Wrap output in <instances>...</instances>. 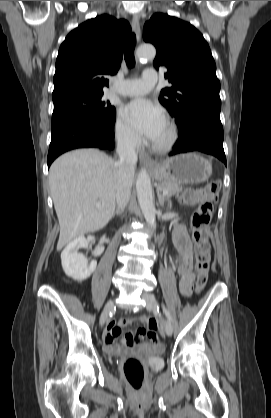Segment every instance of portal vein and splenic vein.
<instances>
[{
    "label": "portal vein and splenic vein",
    "instance_id": "portal-vein-and-splenic-vein-1",
    "mask_svg": "<svg viewBox=\"0 0 271 418\" xmlns=\"http://www.w3.org/2000/svg\"><path fill=\"white\" fill-rule=\"evenodd\" d=\"M167 194H168L167 191H163V193H162L163 196H166ZM96 205L99 206L100 205V202H97Z\"/></svg>",
    "mask_w": 271,
    "mask_h": 418
}]
</instances>
